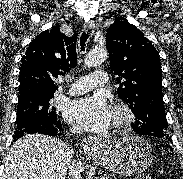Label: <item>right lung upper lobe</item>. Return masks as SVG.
Here are the masks:
<instances>
[{"label": "right lung upper lobe", "instance_id": "obj_1", "mask_svg": "<svg viewBox=\"0 0 183 179\" xmlns=\"http://www.w3.org/2000/svg\"><path fill=\"white\" fill-rule=\"evenodd\" d=\"M76 33L67 37L58 26L40 33L23 55L19 74V98L54 94L58 76L77 64Z\"/></svg>", "mask_w": 183, "mask_h": 179}]
</instances>
